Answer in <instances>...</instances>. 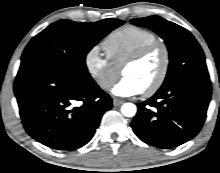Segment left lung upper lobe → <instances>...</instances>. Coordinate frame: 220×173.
Segmentation results:
<instances>
[{
    "label": "left lung upper lobe",
    "instance_id": "obj_1",
    "mask_svg": "<svg viewBox=\"0 0 220 173\" xmlns=\"http://www.w3.org/2000/svg\"><path fill=\"white\" fill-rule=\"evenodd\" d=\"M131 23L151 28L165 40L170 63L161 88L184 81L209 80L204 53L188 30L159 16L136 18Z\"/></svg>",
    "mask_w": 220,
    "mask_h": 173
}]
</instances>
